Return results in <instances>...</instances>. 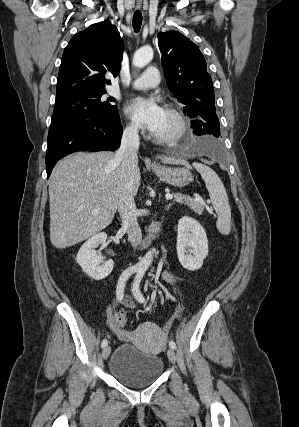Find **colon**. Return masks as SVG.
Masks as SVG:
<instances>
[{
    "mask_svg": "<svg viewBox=\"0 0 299 427\" xmlns=\"http://www.w3.org/2000/svg\"><path fill=\"white\" fill-rule=\"evenodd\" d=\"M125 322H126V317L124 314H120L115 318V323L120 330H124L123 326H124Z\"/></svg>",
    "mask_w": 299,
    "mask_h": 427,
    "instance_id": "obj_1",
    "label": "colon"
}]
</instances>
